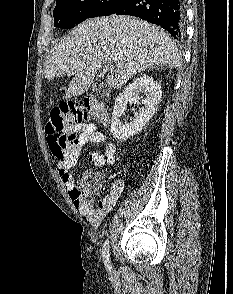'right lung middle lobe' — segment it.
Wrapping results in <instances>:
<instances>
[{
  "label": "right lung middle lobe",
  "mask_w": 233,
  "mask_h": 294,
  "mask_svg": "<svg viewBox=\"0 0 233 294\" xmlns=\"http://www.w3.org/2000/svg\"><path fill=\"white\" fill-rule=\"evenodd\" d=\"M123 0H57L54 26L70 29L86 19L108 16Z\"/></svg>",
  "instance_id": "1"
}]
</instances>
